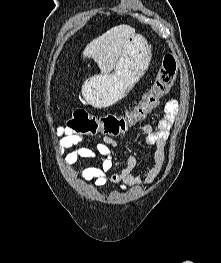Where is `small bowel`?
I'll use <instances>...</instances> for the list:
<instances>
[{"mask_svg":"<svg viewBox=\"0 0 221 263\" xmlns=\"http://www.w3.org/2000/svg\"><path fill=\"white\" fill-rule=\"evenodd\" d=\"M177 111L178 100L171 99L165 105L163 119L153 124L135 125L132 128L133 132L141 134L144 144L156 148L154 153L155 165L144 179L134 175L133 170L138 164V159L125 148L122 149V152L127 157V166L119 173L107 174L113 166L112 149L119 147L118 142L108 136L103 137L102 141L93 142L87 136L74 134L68 128L60 127L55 130V135L60 138L57 151L63 153L66 149L75 147L73 151L65 155L64 163L67 166L75 164L79 158L98 159L100 166L86 167L79 173L81 179L92 181L95 188L103 187L109 182L118 184L121 191H126L130 186L148 185L161 172L165 160L166 141Z\"/></svg>","mask_w":221,"mask_h":263,"instance_id":"obj_1","label":"small bowel"}]
</instances>
